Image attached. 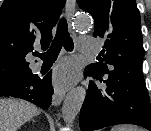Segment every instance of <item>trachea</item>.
<instances>
[{"label":"trachea","mask_w":151,"mask_h":131,"mask_svg":"<svg viewBox=\"0 0 151 131\" xmlns=\"http://www.w3.org/2000/svg\"><path fill=\"white\" fill-rule=\"evenodd\" d=\"M62 46L66 51L69 52L74 48L72 38L68 32V26L65 18H62L58 23L56 36L52 41L49 49L42 54L35 53L34 56L40 57L44 62L55 61Z\"/></svg>","instance_id":"1"}]
</instances>
